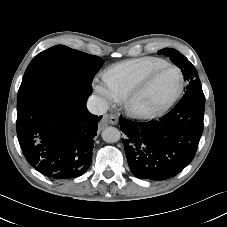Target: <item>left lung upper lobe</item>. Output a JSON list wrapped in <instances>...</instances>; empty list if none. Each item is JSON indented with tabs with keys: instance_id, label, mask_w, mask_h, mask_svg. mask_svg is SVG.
<instances>
[{
	"instance_id": "5c2ea615",
	"label": "left lung upper lobe",
	"mask_w": 227,
	"mask_h": 227,
	"mask_svg": "<svg viewBox=\"0 0 227 227\" xmlns=\"http://www.w3.org/2000/svg\"><path fill=\"white\" fill-rule=\"evenodd\" d=\"M159 53L169 56L170 60L182 70L184 79L189 83L185 95L179 103L198 102L205 104V96L202 91L201 82L193 64L180 52L172 48L162 49Z\"/></svg>"
}]
</instances>
